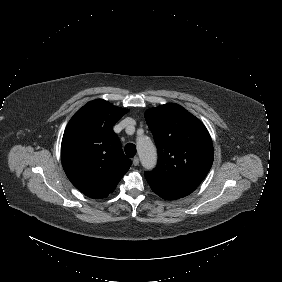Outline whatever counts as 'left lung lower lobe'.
Wrapping results in <instances>:
<instances>
[{
  "label": "left lung lower lobe",
  "instance_id": "1",
  "mask_svg": "<svg viewBox=\"0 0 282 282\" xmlns=\"http://www.w3.org/2000/svg\"><path fill=\"white\" fill-rule=\"evenodd\" d=\"M145 177L152 190L166 200L185 197L197 188V185L160 180L148 172H145Z\"/></svg>",
  "mask_w": 282,
  "mask_h": 282
}]
</instances>
